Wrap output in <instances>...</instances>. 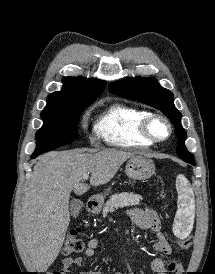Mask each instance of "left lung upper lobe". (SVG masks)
Returning a JSON list of instances; mask_svg holds the SVG:
<instances>
[{
  "label": "left lung upper lobe",
  "instance_id": "left-lung-upper-lobe-1",
  "mask_svg": "<svg viewBox=\"0 0 215 274\" xmlns=\"http://www.w3.org/2000/svg\"><path fill=\"white\" fill-rule=\"evenodd\" d=\"M111 93L137 100L163 112L174 123L178 134L177 152L185 162H194L185 147L186 132L181 125V113L174 105L173 93L161 87L153 78L135 77L127 81H115L109 85Z\"/></svg>",
  "mask_w": 215,
  "mask_h": 274
}]
</instances>
